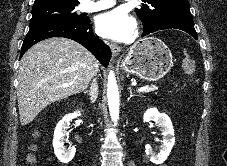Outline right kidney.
Returning <instances> with one entry per match:
<instances>
[{
	"instance_id": "1",
	"label": "right kidney",
	"mask_w": 227,
	"mask_h": 166,
	"mask_svg": "<svg viewBox=\"0 0 227 166\" xmlns=\"http://www.w3.org/2000/svg\"><path fill=\"white\" fill-rule=\"evenodd\" d=\"M81 115L80 111L67 114L60 120L54 130L53 147L54 153L61 163L70 162L76 152V148L71 144L67 147L65 142H69V125L70 121Z\"/></svg>"
}]
</instances>
